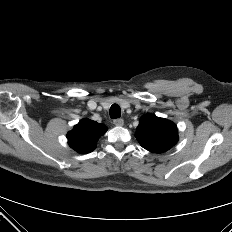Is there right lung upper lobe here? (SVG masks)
<instances>
[{"mask_svg":"<svg viewBox=\"0 0 232 232\" xmlns=\"http://www.w3.org/2000/svg\"><path fill=\"white\" fill-rule=\"evenodd\" d=\"M107 131V128L96 121L82 119L68 132L69 145L81 154L89 153L96 147L97 140Z\"/></svg>","mask_w":232,"mask_h":232,"instance_id":"obj_1","label":"right lung upper lobe"}]
</instances>
